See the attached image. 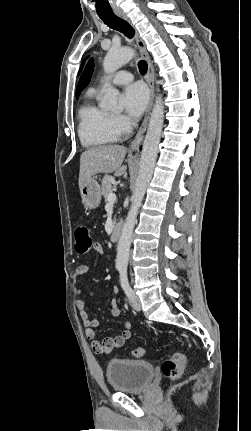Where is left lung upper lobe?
<instances>
[{
	"mask_svg": "<svg viewBox=\"0 0 251 431\" xmlns=\"http://www.w3.org/2000/svg\"><path fill=\"white\" fill-rule=\"evenodd\" d=\"M84 63H85V60L83 61L82 65H81L80 71H81V69H82V67H83Z\"/></svg>",
	"mask_w": 251,
	"mask_h": 431,
	"instance_id": "obj_1",
	"label": "left lung upper lobe"
}]
</instances>
